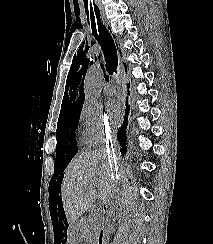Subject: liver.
Masks as SVG:
<instances>
[{
    "label": "liver",
    "instance_id": "1",
    "mask_svg": "<svg viewBox=\"0 0 213 244\" xmlns=\"http://www.w3.org/2000/svg\"><path fill=\"white\" fill-rule=\"evenodd\" d=\"M119 156L116 162L119 163ZM112 163L106 149L82 153L67 166L61 185V197L68 223L73 226L77 219L93 203L105 202L113 190ZM95 187H98V192Z\"/></svg>",
    "mask_w": 213,
    "mask_h": 244
}]
</instances>
